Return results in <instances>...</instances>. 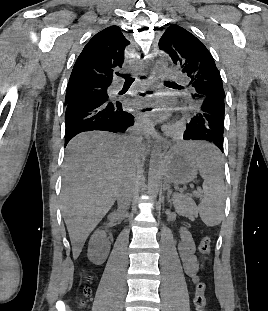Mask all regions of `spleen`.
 Segmentation results:
<instances>
[{"label": "spleen", "instance_id": "1", "mask_svg": "<svg viewBox=\"0 0 268 311\" xmlns=\"http://www.w3.org/2000/svg\"><path fill=\"white\" fill-rule=\"evenodd\" d=\"M186 147H192V156L204 179V196L198 206L201 220L207 226H217L224 216L226 196L220 149L206 140H186Z\"/></svg>", "mask_w": 268, "mask_h": 311}]
</instances>
